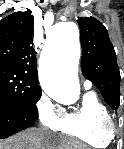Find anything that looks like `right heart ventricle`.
Wrapping results in <instances>:
<instances>
[{"label":"right heart ventricle","mask_w":124,"mask_h":149,"mask_svg":"<svg viewBox=\"0 0 124 149\" xmlns=\"http://www.w3.org/2000/svg\"><path fill=\"white\" fill-rule=\"evenodd\" d=\"M109 117L107 107L94 92L89 91L83 95L76 109L64 112L55 131L91 147L105 148L112 137L103 131L102 123Z\"/></svg>","instance_id":"right-heart-ventricle-1"}]
</instances>
